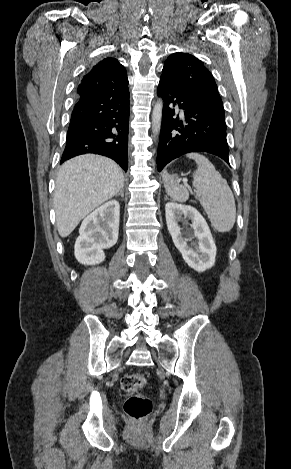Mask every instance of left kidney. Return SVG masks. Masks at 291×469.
<instances>
[{
  "mask_svg": "<svg viewBox=\"0 0 291 469\" xmlns=\"http://www.w3.org/2000/svg\"><path fill=\"white\" fill-rule=\"evenodd\" d=\"M168 231L174 245L182 254L184 261L192 269L204 272L215 264L216 245L209 226L203 216L192 206L168 202L165 206ZM183 219L192 221L193 231L181 232L178 225ZM196 238L198 241L188 245V241Z\"/></svg>",
  "mask_w": 291,
  "mask_h": 469,
  "instance_id": "obj_1",
  "label": "left kidney"
}]
</instances>
